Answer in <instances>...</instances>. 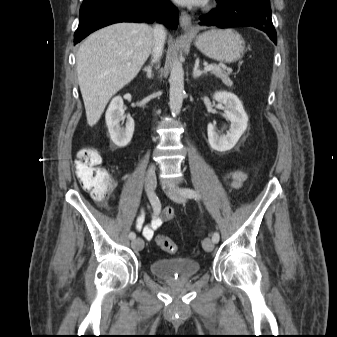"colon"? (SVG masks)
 Segmentation results:
<instances>
[{"label":"colon","mask_w":337,"mask_h":337,"mask_svg":"<svg viewBox=\"0 0 337 337\" xmlns=\"http://www.w3.org/2000/svg\"><path fill=\"white\" fill-rule=\"evenodd\" d=\"M101 152L93 147H84L77 153L75 170L82 187L91 196L104 201L113 189V180L109 173L101 167ZM157 244L161 249L169 253H176L178 248L176 243L168 237L158 235Z\"/></svg>","instance_id":"1"}]
</instances>
